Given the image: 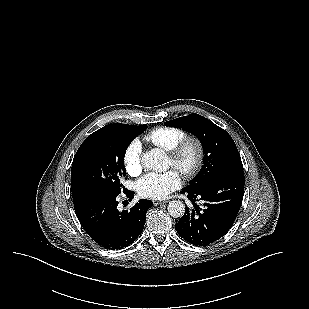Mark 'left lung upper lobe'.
<instances>
[{
    "label": "left lung upper lobe",
    "instance_id": "5c2ea615",
    "mask_svg": "<svg viewBox=\"0 0 309 309\" xmlns=\"http://www.w3.org/2000/svg\"><path fill=\"white\" fill-rule=\"evenodd\" d=\"M166 126L193 133L203 145L204 165L187 189H195L231 173L243 172L242 161L232 137L222 128L199 114L173 119Z\"/></svg>",
    "mask_w": 309,
    "mask_h": 309
}]
</instances>
